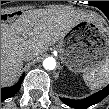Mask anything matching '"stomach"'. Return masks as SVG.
<instances>
[{
	"mask_svg": "<svg viewBox=\"0 0 109 109\" xmlns=\"http://www.w3.org/2000/svg\"><path fill=\"white\" fill-rule=\"evenodd\" d=\"M61 60L73 73L89 72L109 61V37L105 29L81 20L57 45Z\"/></svg>",
	"mask_w": 109,
	"mask_h": 109,
	"instance_id": "obj_1",
	"label": "stomach"
}]
</instances>
